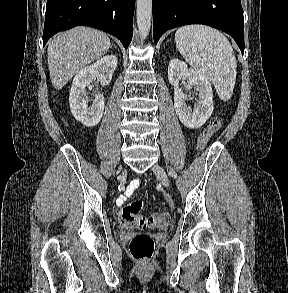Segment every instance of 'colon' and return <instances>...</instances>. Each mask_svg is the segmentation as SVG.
Masks as SVG:
<instances>
[{"mask_svg": "<svg viewBox=\"0 0 288 293\" xmlns=\"http://www.w3.org/2000/svg\"><path fill=\"white\" fill-rule=\"evenodd\" d=\"M222 126V119L212 118L207 127L200 133L197 141L199 150H203L211 137L217 133ZM143 202L135 199L124 205L119 212V220L128 229H162L169 222V215L165 212H155L148 216L142 215ZM154 251V241L151 236L139 234L130 242V252L133 258L140 261L149 260Z\"/></svg>", "mask_w": 288, "mask_h": 293, "instance_id": "1", "label": "colon"}]
</instances>
